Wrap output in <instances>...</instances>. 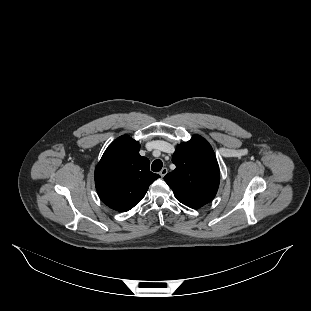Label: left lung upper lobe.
<instances>
[{
	"mask_svg": "<svg viewBox=\"0 0 311 311\" xmlns=\"http://www.w3.org/2000/svg\"><path fill=\"white\" fill-rule=\"evenodd\" d=\"M172 162L176 169L164 180L177 200L197 209L215 197L220 181L219 166L212 147L204 138L194 135L190 141L179 144Z\"/></svg>",
	"mask_w": 311,
	"mask_h": 311,
	"instance_id": "left-lung-upper-lobe-1",
	"label": "left lung upper lobe"
}]
</instances>
